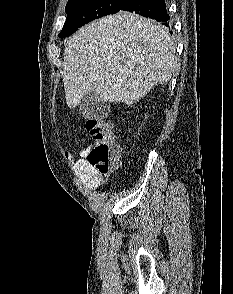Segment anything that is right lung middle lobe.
<instances>
[{
    "label": "right lung middle lobe",
    "instance_id": "right-lung-middle-lobe-1",
    "mask_svg": "<svg viewBox=\"0 0 233 294\" xmlns=\"http://www.w3.org/2000/svg\"><path fill=\"white\" fill-rule=\"evenodd\" d=\"M127 0H69L65 11L66 22L60 38L68 37L86 23L117 13Z\"/></svg>",
    "mask_w": 233,
    "mask_h": 294
}]
</instances>
